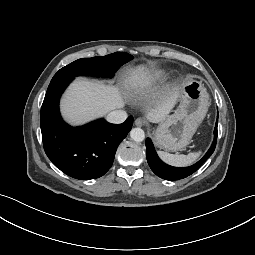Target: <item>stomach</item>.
I'll return each instance as SVG.
<instances>
[{
    "mask_svg": "<svg viewBox=\"0 0 255 255\" xmlns=\"http://www.w3.org/2000/svg\"><path fill=\"white\" fill-rule=\"evenodd\" d=\"M179 100L177 111L161 121L154 132L156 145L172 152L180 151L190 143L209 106L206 89L194 80L180 86Z\"/></svg>",
    "mask_w": 255,
    "mask_h": 255,
    "instance_id": "0dacf381",
    "label": "stomach"
}]
</instances>
